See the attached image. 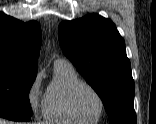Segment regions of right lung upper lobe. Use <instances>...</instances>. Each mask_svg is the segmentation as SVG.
Returning <instances> with one entry per match:
<instances>
[{
	"instance_id": "cb5924a9",
	"label": "right lung upper lobe",
	"mask_w": 156,
	"mask_h": 124,
	"mask_svg": "<svg viewBox=\"0 0 156 124\" xmlns=\"http://www.w3.org/2000/svg\"><path fill=\"white\" fill-rule=\"evenodd\" d=\"M41 29L0 13V66L37 72Z\"/></svg>"
}]
</instances>
